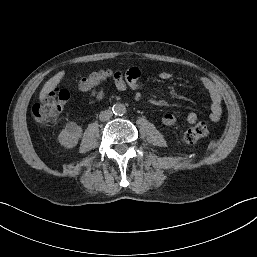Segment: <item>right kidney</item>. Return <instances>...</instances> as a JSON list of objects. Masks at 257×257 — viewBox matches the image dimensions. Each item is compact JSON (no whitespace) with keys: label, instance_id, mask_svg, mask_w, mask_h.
<instances>
[{"label":"right kidney","instance_id":"1","mask_svg":"<svg viewBox=\"0 0 257 257\" xmlns=\"http://www.w3.org/2000/svg\"><path fill=\"white\" fill-rule=\"evenodd\" d=\"M82 128L75 122H69L58 136L59 143L66 148H73L81 137Z\"/></svg>","mask_w":257,"mask_h":257}]
</instances>
